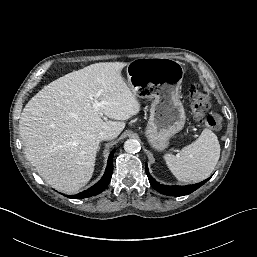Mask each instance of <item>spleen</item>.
<instances>
[{
    "instance_id": "obj_1",
    "label": "spleen",
    "mask_w": 257,
    "mask_h": 257,
    "mask_svg": "<svg viewBox=\"0 0 257 257\" xmlns=\"http://www.w3.org/2000/svg\"><path fill=\"white\" fill-rule=\"evenodd\" d=\"M220 157V144L215 133L204 129L198 139L176 155L165 154L164 160L181 182H200L214 170Z\"/></svg>"
}]
</instances>
